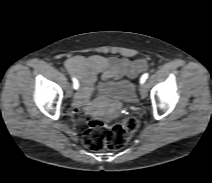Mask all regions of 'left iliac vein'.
I'll return each mask as SVG.
<instances>
[{"mask_svg":"<svg viewBox=\"0 0 212 183\" xmlns=\"http://www.w3.org/2000/svg\"><path fill=\"white\" fill-rule=\"evenodd\" d=\"M139 91L142 98H145L147 96V88L145 84L140 85Z\"/></svg>","mask_w":212,"mask_h":183,"instance_id":"4c4485c4","label":"left iliac vein"}]
</instances>
